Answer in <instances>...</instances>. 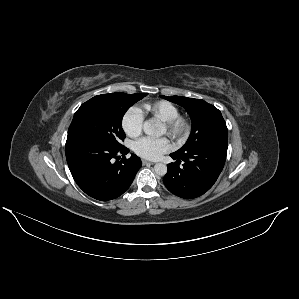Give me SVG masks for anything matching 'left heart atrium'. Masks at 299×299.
<instances>
[{
	"label": "left heart atrium",
	"instance_id": "1",
	"mask_svg": "<svg viewBox=\"0 0 299 299\" xmlns=\"http://www.w3.org/2000/svg\"><path fill=\"white\" fill-rule=\"evenodd\" d=\"M171 148L170 142L167 138L143 137L137 140L133 149L139 156L156 160Z\"/></svg>",
	"mask_w": 299,
	"mask_h": 299
}]
</instances>
